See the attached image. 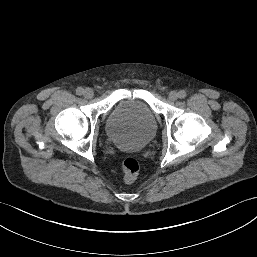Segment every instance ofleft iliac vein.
<instances>
[{"mask_svg":"<svg viewBox=\"0 0 257 257\" xmlns=\"http://www.w3.org/2000/svg\"><path fill=\"white\" fill-rule=\"evenodd\" d=\"M170 101H175L178 99V93L176 91H171L168 95Z\"/></svg>","mask_w":257,"mask_h":257,"instance_id":"4c4485c4","label":"left iliac vein"}]
</instances>
